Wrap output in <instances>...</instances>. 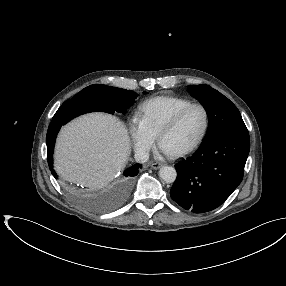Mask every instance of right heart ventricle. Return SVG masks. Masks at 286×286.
<instances>
[{"label":"right heart ventricle","instance_id":"obj_1","mask_svg":"<svg viewBox=\"0 0 286 286\" xmlns=\"http://www.w3.org/2000/svg\"><path fill=\"white\" fill-rule=\"evenodd\" d=\"M192 101L178 96L161 95L146 100L139 109V117L153 134L157 135L162 125L178 110Z\"/></svg>","mask_w":286,"mask_h":286}]
</instances>
